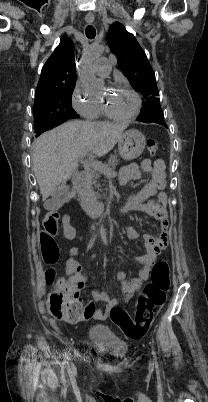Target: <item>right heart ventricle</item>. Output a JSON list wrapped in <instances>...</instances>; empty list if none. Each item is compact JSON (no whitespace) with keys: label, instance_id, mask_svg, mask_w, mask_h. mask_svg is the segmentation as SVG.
Listing matches in <instances>:
<instances>
[{"label":"right heart ventricle","instance_id":"1","mask_svg":"<svg viewBox=\"0 0 208 402\" xmlns=\"http://www.w3.org/2000/svg\"><path fill=\"white\" fill-rule=\"evenodd\" d=\"M98 124H107L110 123L111 121H115L116 119L113 118L111 115H109L102 105H100L99 113L97 118L95 119Z\"/></svg>","mask_w":208,"mask_h":402}]
</instances>
